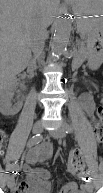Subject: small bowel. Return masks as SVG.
Listing matches in <instances>:
<instances>
[{
	"instance_id": "small-bowel-1",
	"label": "small bowel",
	"mask_w": 103,
	"mask_h": 193,
	"mask_svg": "<svg viewBox=\"0 0 103 193\" xmlns=\"http://www.w3.org/2000/svg\"><path fill=\"white\" fill-rule=\"evenodd\" d=\"M79 100L82 108L88 114H92L95 109L93 96L84 94ZM3 134L5 139L6 134ZM51 154L52 147L49 143H43L26 153L25 164L22 167L26 179L21 181L17 187L13 188L14 193H51L52 172L48 169L32 167L33 164L48 159ZM13 179L12 177L11 180L13 181ZM83 179L85 182L80 185L73 181L65 183L56 193H88L87 180H89V176L86 174Z\"/></svg>"
}]
</instances>
